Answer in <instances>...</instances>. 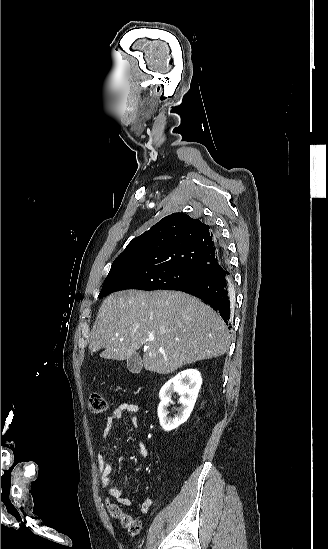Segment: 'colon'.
I'll return each instance as SVG.
<instances>
[{"label":"colon","mask_w":328,"mask_h":549,"mask_svg":"<svg viewBox=\"0 0 328 549\" xmlns=\"http://www.w3.org/2000/svg\"><path fill=\"white\" fill-rule=\"evenodd\" d=\"M89 408L94 413H101L107 409V402L99 391H92L88 399ZM106 508L109 515L120 522L122 527L131 535L140 532V521L128 514H125L120 506L109 499L106 500Z\"/></svg>","instance_id":"obj_1"}]
</instances>
